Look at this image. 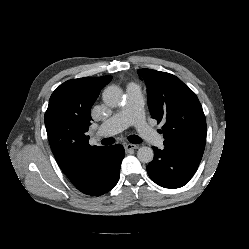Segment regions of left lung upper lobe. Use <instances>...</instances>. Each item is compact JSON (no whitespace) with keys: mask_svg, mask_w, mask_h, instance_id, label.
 <instances>
[{"mask_svg":"<svg viewBox=\"0 0 249 249\" xmlns=\"http://www.w3.org/2000/svg\"><path fill=\"white\" fill-rule=\"evenodd\" d=\"M147 86L152 118L164 122V146L200 162L206 142V119L196 94L178 77L152 69L138 70Z\"/></svg>","mask_w":249,"mask_h":249,"instance_id":"left-lung-upper-lobe-1","label":"left lung upper lobe"}]
</instances>
